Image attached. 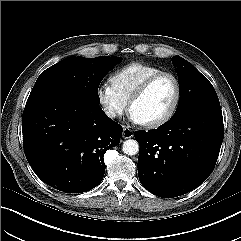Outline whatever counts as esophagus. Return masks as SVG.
<instances>
[{"label": "esophagus", "instance_id": "1", "mask_svg": "<svg viewBox=\"0 0 241 241\" xmlns=\"http://www.w3.org/2000/svg\"><path fill=\"white\" fill-rule=\"evenodd\" d=\"M131 137H133V131L128 127H124L123 128V138L128 139Z\"/></svg>", "mask_w": 241, "mask_h": 241}]
</instances>
